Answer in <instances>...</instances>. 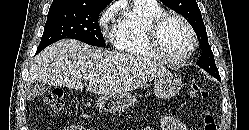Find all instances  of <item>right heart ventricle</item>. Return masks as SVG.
Wrapping results in <instances>:
<instances>
[{"label": "right heart ventricle", "instance_id": "e07e8e85", "mask_svg": "<svg viewBox=\"0 0 249 130\" xmlns=\"http://www.w3.org/2000/svg\"><path fill=\"white\" fill-rule=\"evenodd\" d=\"M163 13L157 0H133L111 32L115 49L131 56L158 58L151 48L148 30L152 20Z\"/></svg>", "mask_w": 249, "mask_h": 130}]
</instances>
